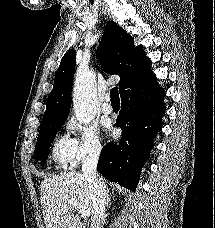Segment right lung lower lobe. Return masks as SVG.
<instances>
[{"instance_id":"obj_1","label":"right lung lower lobe","mask_w":215,"mask_h":228,"mask_svg":"<svg viewBox=\"0 0 215 228\" xmlns=\"http://www.w3.org/2000/svg\"><path fill=\"white\" fill-rule=\"evenodd\" d=\"M164 96V89L153 74L128 83L121 95V111L116 120V126L122 128V139L103 147L97 165L106 179L135 191L154 137L162 128Z\"/></svg>"}]
</instances>
